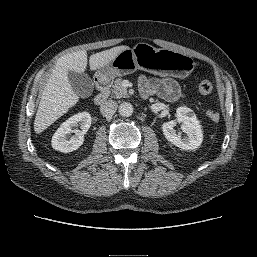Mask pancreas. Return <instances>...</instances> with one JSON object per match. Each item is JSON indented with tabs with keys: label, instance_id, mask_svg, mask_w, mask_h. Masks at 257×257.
I'll use <instances>...</instances> for the list:
<instances>
[{
	"label": "pancreas",
	"instance_id": "pancreas-1",
	"mask_svg": "<svg viewBox=\"0 0 257 257\" xmlns=\"http://www.w3.org/2000/svg\"><path fill=\"white\" fill-rule=\"evenodd\" d=\"M123 80L121 78H117L114 81L111 89V97L112 98H122L129 97L127 90L123 87Z\"/></svg>",
	"mask_w": 257,
	"mask_h": 257
}]
</instances>
